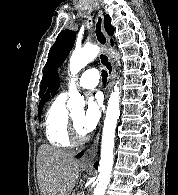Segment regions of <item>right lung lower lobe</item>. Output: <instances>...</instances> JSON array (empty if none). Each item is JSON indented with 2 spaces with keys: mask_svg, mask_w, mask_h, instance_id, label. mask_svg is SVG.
<instances>
[{
  "mask_svg": "<svg viewBox=\"0 0 178 195\" xmlns=\"http://www.w3.org/2000/svg\"><path fill=\"white\" fill-rule=\"evenodd\" d=\"M94 166H95V168H97V166H98V162H96V163L94 164Z\"/></svg>",
  "mask_w": 178,
  "mask_h": 195,
  "instance_id": "1",
  "label": "right lung lower lobe"
}]
</instances>
